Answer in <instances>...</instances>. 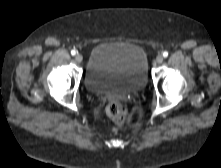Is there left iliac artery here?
<instances>
[{
    "mask_svg": "<svg viewBox=\"0 0 221 168\" xmlns=\"http://www.w3.org/2000/svg\"><path fill=\"white\" fill-rule=\"evenodd\" d=\"M163 56H164V57H167V56H168V52H167V51H164V52H163Z\"/></svg>",
    "mask_w": 221,
    "mask_h": 168,
    "instance_id": "left-iliac-artery-1",
    "label": "left iliac artery"
}]
</instances>
